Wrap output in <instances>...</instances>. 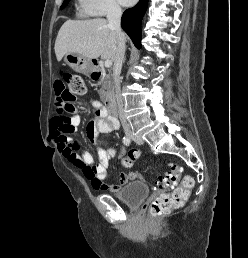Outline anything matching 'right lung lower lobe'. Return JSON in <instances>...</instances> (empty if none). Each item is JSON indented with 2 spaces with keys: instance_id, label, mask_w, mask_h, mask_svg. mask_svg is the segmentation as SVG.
Instances as JSON below:
<instances>
[{
  "instance_id": "right-lung-lower-lobe-1",
  "label": "right lung lower lobe",
  "mask_w": 248,
  "mask_h": 258,
  "mask_svg": "<svg viewBox=\"0 0 248 258\" xmlns=\"http://www.w3.org/2000/svg\"><path fill=\"white\" fill-rule=\"evenodd\" d=\"M148 0H140L136 6L127 9L122 16L121 26L130 36L134 45L141 48L140 22L147 9Z\"/></svg>"
}]
</instances>
